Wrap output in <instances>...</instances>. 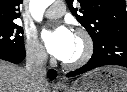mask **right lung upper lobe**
Masks as SVG:
<instances>
[{
	"instance_id": "1",
	"label": "right lung upper lobe",
	"mask_w": 127,
	"mask_h": 92,
	"mask_svg": "<svg viewBox=\"0 0 127 92\" xmlns=\"http://www.w3.org/2000/svg\"><path fill=\"white\" fill-rule=\"evenodd\" d=\"M23 0H0V24L14 23L19 18Z\"/></svg>"
}]
</instances>
